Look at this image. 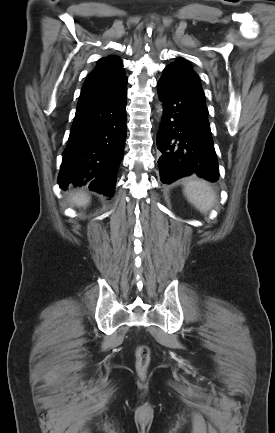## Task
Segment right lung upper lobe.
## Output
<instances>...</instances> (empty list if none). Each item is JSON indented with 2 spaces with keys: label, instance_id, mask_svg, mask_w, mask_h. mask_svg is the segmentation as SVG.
<instances>
[{
  "label": "right lung upper lobe",
  "instance_id": "right-lung-upper-lobe-1",
  "mask_svg": "<svg viewBox=\"0 0 275 433\" xmlns=\"http://www.w3.org/2000/svg\"><path fill=\"white\" fill-rule=\"evenodd\" d=\"M127 84L121 59L108 56L101 58L97 67L87 77L80 97L108 89L120 88Z\"/></svg>",
  "mask_w": 275,
  "mask_h": 433
}]
</instances>
